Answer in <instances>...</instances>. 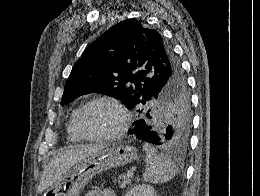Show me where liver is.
<instances>
[{
  "instance_id": "6515ba94",
  "label": "liver",
  "mask_w": 260,
  "mask_h": 196,
  "mask_svg": "<svg viewBox=\"0 0 260 196\" xmlns=\"http://www.w3.org/2000/svg\"><path fill=\"white\" fill-rule=\"evenodd\" d=\"M105 146H75V150H66L60 152L57 156L52 158L48 166H46L42 176L41 182L38 186V194H42L48 188H53L55 182H60L66 176L68 170L93 154H97L100 150H104Z\"/></svg>"
}]
</instances>
